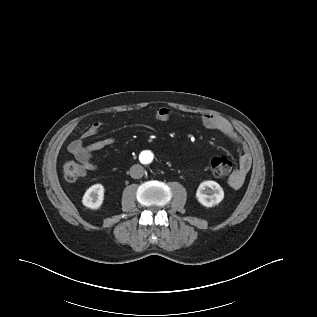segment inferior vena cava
Instances as JSON below:
<instances>
[{"mask_svg":"<svg viewBox=\"0 0 317 317\" xmlns=\"http://www.w3.org/2000/svg\"><path fill=\"white\" fill-rule=\"evenodd\" d=\"M130 176L134 179H139L144 174V169L140 164H135L130 168Z\"/></svg>","mask_w":317,"mask_h":317,"instance_id":"inferior-vena-cava-1","label":"inferior vena cava"}]
</instances>
